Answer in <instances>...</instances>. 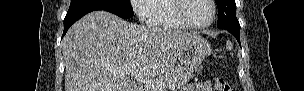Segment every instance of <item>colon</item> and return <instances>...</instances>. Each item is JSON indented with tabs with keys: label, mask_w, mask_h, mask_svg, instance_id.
<instances>
[{
	"label": "colon",
	"mask_w": 304,
	"mask_h": 91,
	"mask_svg": "<svg viewBox=\"0 0 304 91\" xmlns=\"http://www.w3.org/2000/svg\"><path fill=\"white\" fill-rule=\"evenodd\" d=\"M215 91H233V87L224 79L216 78L214 82Z\"/></svg>",
	"instance_id": "1"
}]
</instances>
